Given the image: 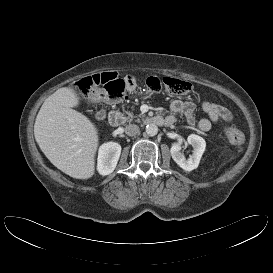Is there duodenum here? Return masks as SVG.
I'll return each mask as SVG.
<instances>
[{
    "label": "duodenum",
    "mask_w": 273,
    "mask_h": 273,
    "mask_svg": "<svg viewBox=\"0 0 273 273\" xmlns=\"http://www.w3.org/2000/svg\"><path fill=\"white\" fill-rule=\"evenodd\" d=\"M120 118H121L120 114L116 110H111L107 116L108 123L112 127H117L119 125ZM146 122H147V124L156 125V126H170V125H172L171 121H169L167 118H165L161 115H156V116L150 117L147 119Z\"/></svg>",
    "instance_id": "1"
}]
</instances>
